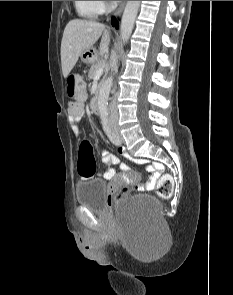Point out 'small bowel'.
I'll use <instances>...</instances> for the list:
<instances>
[{
  "label": "small bowel",
  "mask_w": 233,
  "mask_h": 295,
  "mask_svg": "<svg viewBox=\"0 0 233 295\" xmlns=\"http://www.w3.org/2000/svg\"><path fill=\"white\" fill-rule=\"evenodd\" d=\"M84 99L80 101H75L70 104L69 108V121L73 127V130L77 132V124L84 116L85 110L83 105ZM120 153H123V149H119ZM102 160L105 164V169L102 172V176L107 179L111 180L116 175V169L112 167L113 165H117L122 172L129 171V167L124 164L120 163L119 159L110 154L105 149H102ZM141 163L147 164V171L149 172V179L146 182L144 189L150 190L154 187L157 179L159 178L160 174L163 171V165L159 162H149L147 160H139Z\"/></svg>",
  "instance_id": "obj_1"
}]
</instances>
